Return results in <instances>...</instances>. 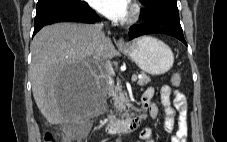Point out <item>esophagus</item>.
Wrapping results in <instances>:
<instances>
[{"label":"esophagus","instance_id":"esophagus-1","mask_svg":"<svg viewBox=\"0 0 227 142\" xmlns=\"http://www.w3.org/2000/svg\"><path fill=\"white\" fill-rule=\"evenodd\" d=\"M118 48H125L128 44L123 39H118L116 43Z\"/></svg>","mask_w":227,"mask_h":142}]
</instances>
